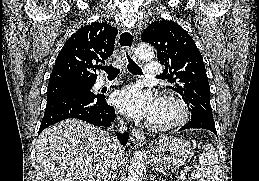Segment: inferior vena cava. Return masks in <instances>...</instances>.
Wrapping results in <instances>:
<instances>
[{
    "label": "inferior vena cava",
    "instance_id": "1",
    "mask_svg": "<svg viewBox=\"0 0 259 181\" xmlns=\"http://www.w3.org/2000/svg\"><path fill=\"white\" fill-rule=\"evenodd\" d=\"M117 130H119L120 132H124L125 131V127H123L122 124H120L117 128ZM121 145L119 144V147ZM118 165V157L116 155H113L112 160H111V168L112 170H115L117 168Z\"/></svg>",
    "mask_w": 259,
    "mask_h": 181
}]
</instances>
